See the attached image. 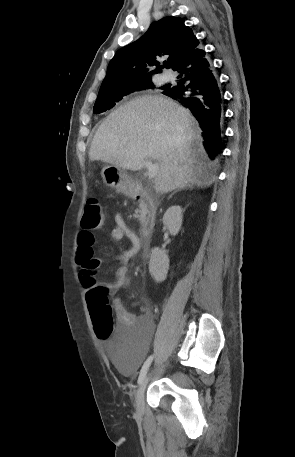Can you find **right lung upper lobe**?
I'll use <instances>...</instances> for the list:
<instances>
[{
  "mask_svg": "<svg viewBox=\"0 0 295 457\" xmlns=\"http://www.w3.org/2000/svg\"><path fill=\"white\" fill-rule=\"evenodd\" d=\"M198 44L192 29L185 26L184 19L164 17L155 21L140 39L117 51L108 65L100 91L151 80V76L159 73L161 68L159 57L169 55L167 68L173 69ZM148 66L156 68L150 71Z\"/></svg>",
  "mask_w": 295,
  "mask_h": 457,
  "instance_id": "right-lung-upper-lobe-1",
  "label": "right lung upper lobe"
}]
</instances>
